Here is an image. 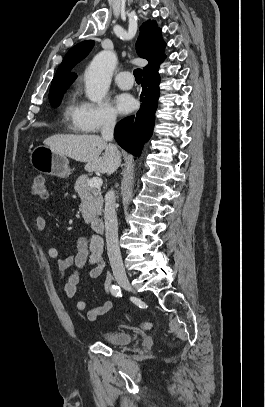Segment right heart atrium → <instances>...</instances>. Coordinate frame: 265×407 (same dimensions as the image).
Masks as SVG:
<instances>
[{
    "instance_id": "right-heart-atrium-1",
    "label": "right heart atrium",
    "mask_w": 265,
    "mask_h": 407,
    "mask_svg": "<svg viewBox=\"0 0 265 407\" xmlns=\"http://www.w3.org/2000/svg\"><path fill=\"white\" fill-rule=\"evenodd\" d=\"M81 122L90 132H100L111 128L117 123V115L106 102L92 103L84 101L80 104Z\"/></svg>"
}]
</instances>
